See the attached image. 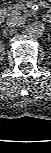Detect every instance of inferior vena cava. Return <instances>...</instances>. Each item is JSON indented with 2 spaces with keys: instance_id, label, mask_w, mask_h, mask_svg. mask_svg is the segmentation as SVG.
<instances>
[{
  "instance_id": "inferior-vena-cava-1",
  "label": "inferior vena cava",
  "mask_w": 51,
  "mask_h": 153,
  "mask_svg": "<svg viewBox=\"0 0 51 153\" xmlns=\"http://www.w3.org/2000/svg\"><path fill=\"white\" fill-rule=\"evenodd\" d=\"M26 23V18L22 16H11L7 19V25L12 28H20Z\"/></svg>"
}]
</instances>
